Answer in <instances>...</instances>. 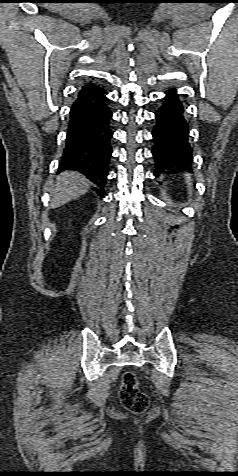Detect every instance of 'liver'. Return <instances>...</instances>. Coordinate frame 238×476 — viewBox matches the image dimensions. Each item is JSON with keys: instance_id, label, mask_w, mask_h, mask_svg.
<instances>
[{"instance_id": "1", "label": "liver", "mask_w": 238, "mask_h": 476, "mask_svg": "<svg viewBox=\"0 0 238 476\" xmlns=\"http://www.w3.org/2000/svg\"><path fill=\"white\" fill-rule=\"evenodd\" d=\"M57 183L52 189L51 208H58L84 195L91 182L77 172H63L57 176Z\"/></svg>"}]
</instances>
